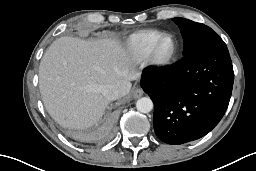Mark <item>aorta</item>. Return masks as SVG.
<instances>
[{
    "mask_svg": "<svg viewBox=\"0 0 256 171\" xmlns=\"http://www.w3.org/2000/svg\"><path fill=\"white\" fill-rule=\"evenodd\" d=\"M136 108L141 113H149L153 109V102L149 97H142L137 100Z\"/></svg>",
    "mask_w": 256,
    "mask_h": 171,
    "instance_id": "aorta-1",
    "label": "aorta"
}]
</instances>
